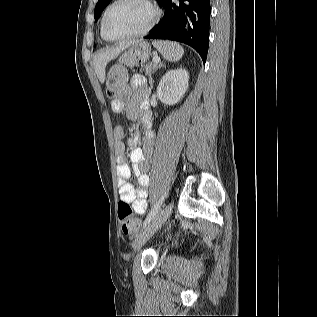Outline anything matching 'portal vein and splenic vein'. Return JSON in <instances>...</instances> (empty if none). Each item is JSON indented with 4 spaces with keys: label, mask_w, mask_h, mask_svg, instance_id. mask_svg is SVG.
I'll list each match as a JSON object with an SVG mask.
<instances>
[{
    "label": "portal vein and splenic vein",
    "mask_w": 317,
    "mask_h": 317,
    "mask_svg": "<svg viewBox=\"0 0 317 317\" xmlns=\"http://www.w3.org/2000/svg\"><path fill=\"white\" fill-rule=\"evenodd\" d=\"M153 62L155 63V64H159L160 63V58L159 57H153Z\"/></svg>",
    "instance_id": "1"
}]
</instances>
